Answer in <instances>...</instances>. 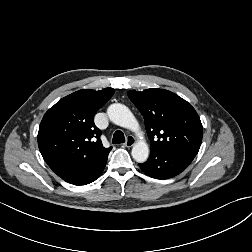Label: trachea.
Masks as SVG:
<instances>
[{
	"mask_svg": "<svg viewBox=\"0 0 252 252\" xmlns=\"http://www.w3.org/2000/svg\"><path fill=\"white\" fill-rule=\"evenodd\" d=\"M124 142H125V136L123 132L120 130H117L113 135L112 143L120 144Z\"/></svg>",
	"mask_w": 252,
	"mask_h": 252,
	"instance_id": "trachea-1",
	"label": "trachea"
}]
</instances>
